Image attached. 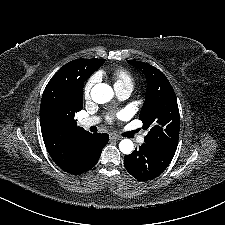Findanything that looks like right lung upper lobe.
Returning <instances> with one entry per match:
<instances>
[{"label": "right lung upper lobe", "mask_w": 225, "mask_h": 225, "mask_svg": "<svg viewBox=\"0 0 225 225\" xmlns=\"http://www.w3.org/2000/svg\"><path fill=\"white\" fill-rule=\"evenodd\" d=\"M100 59H77L65 64L49 81L42 95L40 125L45 147L53 161L66 169L72 164L77 141L89 132L78 127L75 113L83 108V91L72 92L70 82L89 77Z\"/></svg>", "instance_id": "cb5924a9"}]
</instances>
